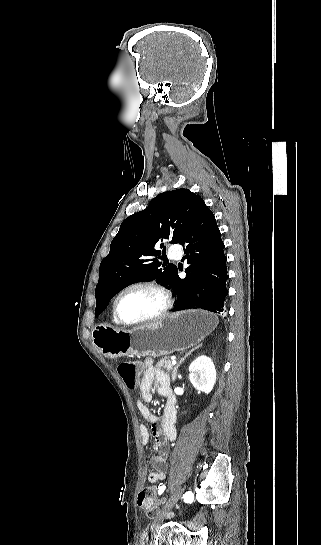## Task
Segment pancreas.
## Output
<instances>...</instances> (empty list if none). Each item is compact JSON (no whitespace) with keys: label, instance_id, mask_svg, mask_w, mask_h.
<instances>
[{"label":"pancreas","instance_id":"cf45deb5","mask_svg":"<svg viewBox=\"0 0 321 545\" xmlns=\"http://www.w3.org/2000/svg\"><path fill=\"white\" fill-rule=\"evenodd\" d=\"M156 367H161V369H164V371H172V363L170 359H167V357H164V359H161V361H158Z\"/></svg>","mask_w":321,"mask_h":545}]
</instances>
